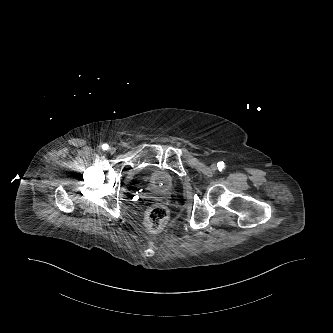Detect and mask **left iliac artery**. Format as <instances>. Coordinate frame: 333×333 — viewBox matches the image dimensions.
I'll return each instance as SVG.
<instances>
[{
  "label": "left iliac artery",
  "mask_w": 333,
  "mask_h": 333,
  "mask_svg": "<svg viewBox=\"0 0 333 333\" xmlns=\"http://www.w3.org/2000/svg\"><path fill=\"white\" fill-rule=\"evenodd\" d=\"M217 167H218V169L221 171V170L225 167L224 162H218V163H217Z\"/></svg>",
  "instance_id": "obj_1"
}]
</instances>
